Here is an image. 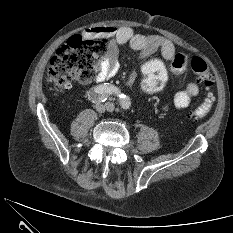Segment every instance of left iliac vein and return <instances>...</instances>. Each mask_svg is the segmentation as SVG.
<instances>
[{
    "instance_id": "left-iliac-vein-1",
    "label": "left iliac vein",
    "mask_w": 233,
    "mask_h": 233,
    "mask_svg": "<svg viewBox=\"0 0 233 233\" xmlns=\"http://www.w3.org/2000/svg\"><path fill=\"white\" fill-rule=\"evenodd\" d=\"M114 109H115L114 105L112 103L108 102L107 103V110L109 112H112V111H114Z\"/></svg>"
}]
</instances>
